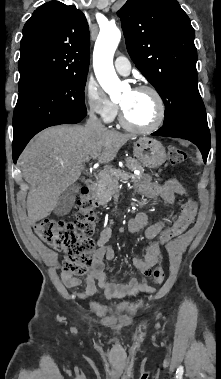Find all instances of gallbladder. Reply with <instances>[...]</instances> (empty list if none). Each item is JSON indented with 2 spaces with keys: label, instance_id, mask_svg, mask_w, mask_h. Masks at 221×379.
<instances>
[{
  "label": "gallbladder",
  "instance_id": "gallbladder-1",
  "mask_svg": "<svg viewBox=\"0 0 221 379\" xmlns=\"http://www.w3.org/2000/svg\"><path fill=\"white\" fill-rule=\"evenodd\" d=\"M78 186L75 184L70 185L59 197L55 207L54 214L57 216L67 215L75 202Z\"/></svg>",
  "mask_w": 221,
  "mask_h": 379
}]
</instances>
